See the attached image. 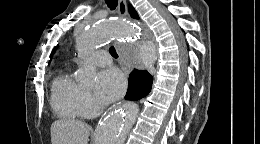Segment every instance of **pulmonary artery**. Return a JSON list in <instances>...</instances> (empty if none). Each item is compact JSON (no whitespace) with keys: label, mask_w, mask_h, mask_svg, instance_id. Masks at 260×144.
Returning <instances> with one entry per match:
<instances>
[{"label":"pulmonary artery","mask_w":260,"mask_h":144,"mask_svg":"<svg viewBox=\"0 0 260 144\" xmlns=\"http://www.w3.org/2000/svg\"><path fill=\"white\" fill-rule=\"evenodd\" d=\"M94 63L100 67H107L112 63L111 56L107 51L100 50L92 55Z\"/></svg>","instance_id":"pulmonary-artery-1"}]
</instances>
